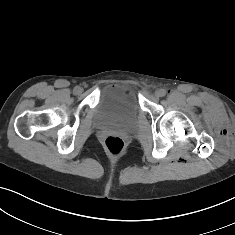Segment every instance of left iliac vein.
Returning a JSON list of instances; mask_svg holds the SVG:
<instances>
[{
    "instance_id": "left-iliac-vein-1",
    "label": "left iliac vein",
    "mask_w": 235,
    "mask_h": 235,
    "mask_svg": "<svg viewBox=\"0 0 235 235\" xmlns=\"http://www.w3.org/2000/svg\"><path fill=\"white\" fill-rule=\"evenodd\" d=\"M161 92H162L161 90H156L155 93H154L155 97L156 98L162 97Z\"/></svg>"
}]
</instances>
